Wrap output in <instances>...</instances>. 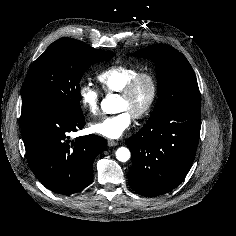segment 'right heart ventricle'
<instances>
[{
	"label": "right heart ventricle",
	"mask_w": 236,
	"mask_h": 236,
	"mask_svg": "<svg viewBox=\"0 0 236 236\" xmlns=\"http://www.w3.org/2000/svg\"><path fill=\"white\" fill-rule=\"evenodd\" d=\"M140 71L132 64H116L102 70L97 75V80L102 90L107 93H119L129 79Z\"/></svg>",
	"instance_id": "right-heart-ventricle-1"
}]
</instances>
